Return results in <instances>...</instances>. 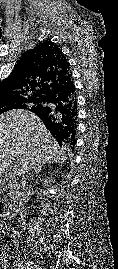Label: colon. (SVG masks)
Returning a JSON list of instances; mask_svg holds the SVG:
<instances>
[{"label": "colon", "instance_id": "5ec220e1", "mask_svg": "<svg viewBox=\"0 0 118 269\" xmlns=\"http://www.w3.org/2000/svg\"><path fill=\"white\" fill-rule=\"evenodd\" d=\"M2 209H3V203H2V201L0 200V212L2 211Z\"/></svg>", "mask_w": 118, "mask_h": 269}]
</instances>
